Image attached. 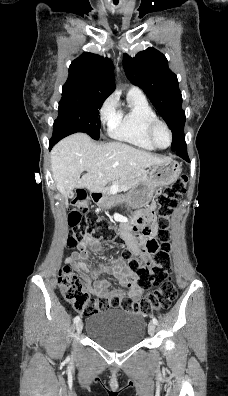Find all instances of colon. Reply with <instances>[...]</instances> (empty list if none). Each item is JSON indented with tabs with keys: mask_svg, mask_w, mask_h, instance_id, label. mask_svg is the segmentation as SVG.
Here are the masks:
<instances>
[{
	"mask_svg": "<svg viewBox=\"0 0 228 396\" xmlns=\"http://www.w3.org/2000/svg\"><path fill=\"white\" fill-rule=\"evenodd\" d=\"M188 177L183 175L167 186L157 198L155 214H142L134 226L135 240L146 253L154 255L153 261L144 256L124 254L119 261L124 262L131 276L141 289L147 290L152 284L156 289L148 296L135 300L131 296H112L91 298L85 289V282L70 266H63L58 273V286L62 298L77 312L92 315L102 310L119 308L143 315H150L155 310L168 308L176 298V289L169 278L165 277L172 268L171 242L169 224L178 200L186 192ZM89 199L84 190H78L73 199V209L68 215L72 227L68 239L69 246L79 245L87 240L89 234L99 237L104 229V222L98 220L94 213H89ZM157 219L159 242L150 238L152 222ZM91 230V233L88 231Z\"/></svg>",
	"mask_w": 228,
	"mask_h": 396,
	"instance_id": "obj_1",
	"label": "colon"
}]
</instances>
